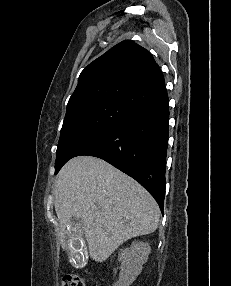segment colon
Wrapping results in <instances>:
<instances>
[{"label": "colon", "mask_w": 231, "mask_h": 286, "mask_svg": "<svg viewBox=\"0 0 231 286\" xmlns=\"http://www.w3.org/2000/svg\"><path fill=\"white\" fill-rule=\"evenodd\" d=\"M61 286H86V283L81 275L67 274L63 277Z\"/></svg>", "instance_id": "5ec220e1"}]
</instances>
